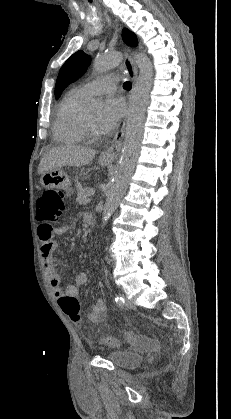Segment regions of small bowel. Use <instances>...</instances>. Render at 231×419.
<instances>
[{
  "mask_svg": "<svg viewBox=\"0 0 231 419\" xmlns=\"http://www.w3.org/2000/svg\"><path fill=\"white\" fill-rule=\"evenodd\" d=\"M88 215L84 216L86 220ZM68 230L67 226L53 227L50 223L44 222L38 226L37 234L41 242V257L43 266L45 268L49 284L53 295L58 298L67 295L78 297L80 288L88 281V274L84 271L76 274L73 283L67 285L65 290L60 287V277L55 268V251L57 249V242L55 236L64 235ZM106 313V305L102 298H99L93 304L87 317L90 322L98 324L104 318ZM143 341L142 338L134 336L132 338L133 344H138Z\"/></svg>",
  "mask_w": 231,
  "mask_h": 419,
  "instance_id": "small-bowel-1",
  "label": "small bowel"
}]
</instances>
